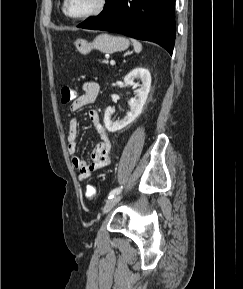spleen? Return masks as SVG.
I'll list each match as a JSON object with an SVG mask.
<instances>
[{
    "instance_id": "1",
    "label": "spleen",
    "mask_w": 243,
    "mask_h": 289,
    "mask_svg": "<svg viewBox=\"0 0 243 289\" xmlns=\"http://www.w3.org/2000/svg\"><path fill=\"white\" fill-rule=\"evenodd\" d=\"M131 42L133 43L134 51L136 53L141 52V50H142L141 43L139 41L135 40V39H131Z\"/></svg>"
}]
</instances>
